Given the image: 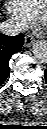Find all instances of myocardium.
Masks as SVG:
<instances>
[{
    "label": "myocardium",
    "mask_w": 47,
    "mask_h": 129,
    "mask_svg": "<svg viewBox=\"0 0 47 129\" xmlns=\"http://www.w3.org/2000/svg\"><path fill=\"white\" fill-rule=\"evenodd\" d=\"M46 3H47V1L45 2L42 10L38 13V15H37V21H42L43 15H44V13L46 11Z\"/></svg>",
    "instance_id": "myocardium-1"
}]
</instances>
